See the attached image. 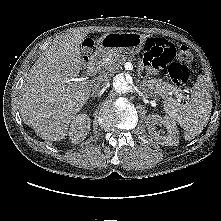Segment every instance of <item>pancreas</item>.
<instances>
[{"label":"pancreas","instance_id":"obj_1","mask_svg":"<svg viewBox=\"0 0 221 221\" xmlns=\"http://www.w3.org/2000/svg\"><path fill=\"white\" fill-rule=\"evenodd\" d=\"M128 60L131 59L127 55L113 53L107 56L105 61L102 62L101 66L108 71H114ZM143 85L163 98H167L170 93L178 95L179 91L176 87L156 78L144 79Z\"/></svg>","mask_w":221,"mask_h":221}]
</instances>
